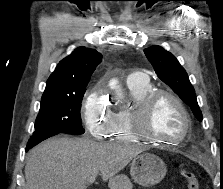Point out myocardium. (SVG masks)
Listing matches in <instances>:
<instances>
[{
    "instance_id": "obj_1",
    "label": "myocardium",
    "mask_w": 223,
    "mask_h": 189,
    "mask_svg": "<svg viewBox=\"0 0 223 189\" xmlns=\"http://www.w3.org/2000/svg\"><path fill=\"white\" fill-rule=\"evenodd\" d=\"M163 97H167L172 100L173 103L180 110L183 117L184 127L182 134L174 140L160 138L158 136L150 134L147 130V123L151 111L156 102ZM130 121L133 132L138 139L170 147L177 146L181 142H183L190 134L192 125L190 114L183 101L176 94L167 90H153L145 97H143L139 102H137L132 108Z\"/></svg>"
}]
</instances>
